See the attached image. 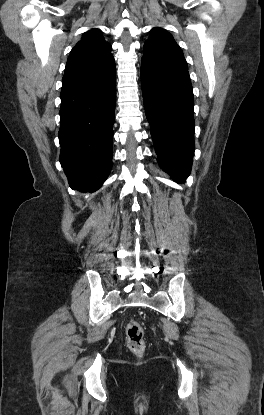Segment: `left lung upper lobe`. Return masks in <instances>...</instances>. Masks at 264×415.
<instances>
[{
    "label": "left lung upper lobe",
    "instance_id": "1",
    "mask_svg": "<svg viewBox=\"0 0 264 415\" xmlns=\"http://www.w3.org/2000/svg\"><path fill=\"white\" fill-rule=\"evenodd\" d=\"M144 58L154 62L188 69L187 62L174 38L164 29L154 28L144 44Z\"/></svg>",
    "mask_w": 264,
    "mask_h": 415
}]
</instances>
